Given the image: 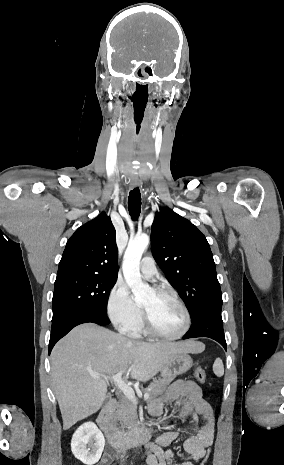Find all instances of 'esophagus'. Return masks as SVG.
Listing matches in <instances>:
<instances>
[{"label": "esophagus", "mask_w": 284, "mask_h": 465, "mask_svg": "<svg viewBox=\"0 0 284 465\" xmlns=\"http://www.w3.org/2000/svg\"><path fill=\"white\" fill-rule=\"evenodd\" d=\"M131 187L132 188L138 187V177L135 174L132 175V178H131Z\"/></svg>", "instance_id": "34e87169"}]
</instances>
